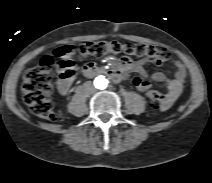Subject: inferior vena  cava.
Listing matches in <instances>:
<instances>
[{"label": "inferior vena cava", "instance_id": "1", "mask_svg": "<svg viewBox=\"0 0 212 183\" xmlns=\"http://www.w3.org/2000/svg\"><path fill=\"white\" fill-rule=\"evenodd\" d=\"M84 87H85V90L90 94H92L96 91L94 85L91 82H86L84 84Z\"/></svg>", "mask_w": 212, "mask_h": 183}]
</instances>
